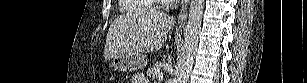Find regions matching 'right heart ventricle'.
<instances>
[{"mask_svg": "<svg viewBox=\"0 0 307 83\" xmlns=\"http://www.w3.org/2000/svg\"><path fill=\"white\" fill-rule=\"evenodd\" d=\"M121 10L129 13H142L156 8L152 0H122Z\"/></svg>", "mask_w": 307, "mask_h": 83, "instance_id": "right-heart-ventricle-1", "label": "right heart ventricle"}]
</instances>
